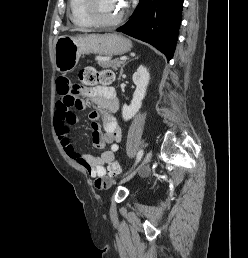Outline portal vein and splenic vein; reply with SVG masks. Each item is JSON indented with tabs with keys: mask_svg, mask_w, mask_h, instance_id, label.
Listing matches in <instances>:
<instances>
[{
	"mask_svg": "<svg viewBox=\"0 0 248 258\" xmlns=\"http://www.w3.org/2000/svg\"><path fill=\"white\" fill-rule=\"evenodd\" d=\"M127 59H128V58H127L126 56H123V57L120 58L121 61H125V60H127Z\"/></svg>",
	"mask_w": 248,
	"mask_h": 258,
	"instance_id": "obj_1",
	"label": "portal vein and splenic vein"
}]
</instances>
